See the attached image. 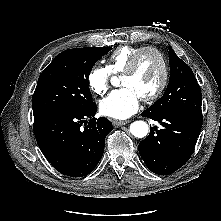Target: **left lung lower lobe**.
Wrapping results in <instances>:
<instances>
[{"label":"left lung lower lobe","mask_w":221,"mask_h":221,"mask_svg":"<svg viewBox=\"0 0 221 221\" xmlns=\"http://www.w3.org/2000/svg\"><path fill=\"white\" fill-rule=\"evenodd\" d=\"M162 125L150 128V134L139 143V153L146 166L159 175L170 174L182 167L194 151L202 127V113L141 114Z\"/></svg>","instance_id":"obj_1"}]
</instances>
